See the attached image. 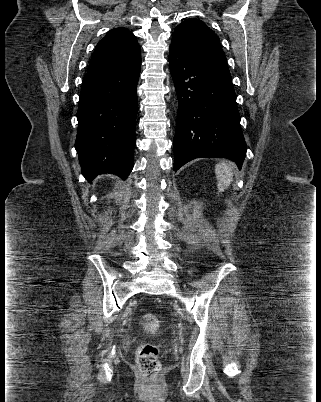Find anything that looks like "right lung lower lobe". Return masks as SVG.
<instances>
[{
  "label": "right lung lower lobe",
  "mask_w": 321,
  "mask_h": 402,
  "mask_svg": "<svg viewBox=\"0 0 321 402\" xmlns=\"http://www.w3.org/2000/svg\"><path fill=\"white\" fill-rule=\"evenodd\" d=\"M140 68L88 72L83 78L75 148L89 182L104 173L126 179L132 171Z\"/></svg>",
  "instance_id": "obj_1"
}]
</instances>
